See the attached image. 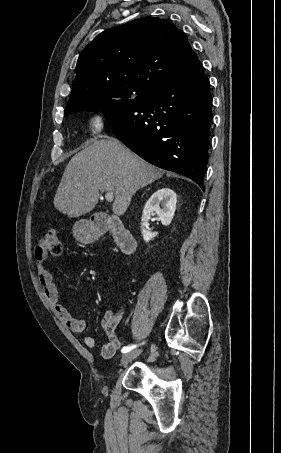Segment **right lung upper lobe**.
Instances as JSON below:
<instances>
[{"label":"right lung upper lobe","instance_id":"obj_1","mask_svg":"<svg viewBox=\"0 0 281 453\" xmlns=\"http://www.w3.org/2000/svg\"><path fill=\"white\" fill-rule=\"evenodd\" d=\"M197 60L185 34L167 19L143 17L108 29L79 56L65 116L129 101Z\"/></svg>","mask_w":281,"mask_h":453}]
</instances>
